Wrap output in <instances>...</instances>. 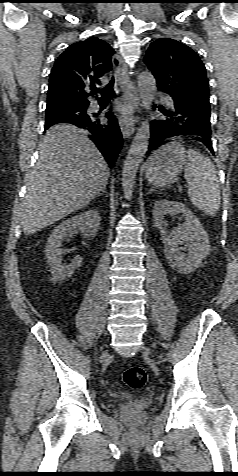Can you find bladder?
I'll return each mask as SVG.
<instances>
[{
	"label": "bladder",
	"instance_id": "bladder-1",
	"mask_svg": "<svg viewBox=\"0 0 238 476\" xmlns=\"http://www.w3.org/2000/svg\"><path fill=\"white\" fill-rule=\"evenodd\" d=\"M115 397H116V398H127L128 395H127L126 393H124V392H119V393H116V394H115Z\"/></svg>",
	"mask_w": 238,
	"mask_h": 476
}]
</instances>
